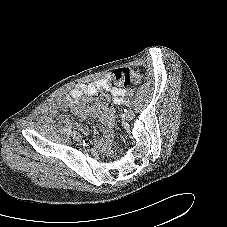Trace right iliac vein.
Masks as SVG:
<instances>
[{"label": "right iliac vein", "instance_id": "obj_1", "mask_svg": "<svg viewBox=\"0 0 227 227\" xmlns=\"http://www.w3.org/2000/svg\"><path fill=\"white\" fill-rule=\"evenodd\" d=\"M72 138H73L75 141H80L81 136H80L78 133L74 132V133L72 134Z\"/></svg>", "mask_w": 227, "mask_h": 227}]
</instances>
